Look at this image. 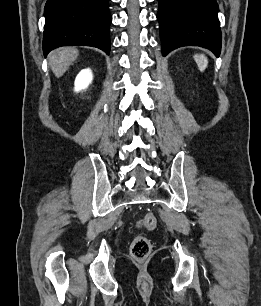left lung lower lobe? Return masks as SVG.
<instances>
[{
    "label": "left lung lower lobe",
    "instance_id": "0a47b994",
    "mask_svg": "<svg viewBox=\"0 0 261 306\" xmlns=\"http://www.w3.org/2000/svg\"><path fill=\"white\" fill-rule=\"evenodd\" d=\"M162 54L181 46H201L216 56L221 52V30L216 0H158Z\"/></svg>",
    "mask_w": 261,
    "mask_h": 306
}]
</instances>
